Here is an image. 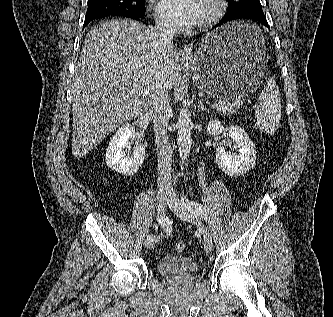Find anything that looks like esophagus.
<instances>
[{
	"mask_svg": "<svg viewBox=\"0 0 333 317\" xmlns=\"http://www.w3.org/2000/svg\"><path fill=\"white\" fill-rule=\"evenodd\" d=\"M177 57L182 60L188 59L190 57V50L188 48H180Z\"/></svg>",
	"mask_w": 333,
	"mask_h": 317,
	"instance_id": "obj_1",
	"label": "esophagus"
}]
</instances>
